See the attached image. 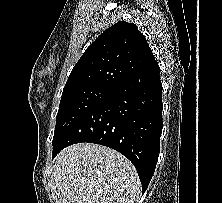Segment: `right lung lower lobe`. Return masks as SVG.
<instances>
[{"instance_id": "obj_1", "label": "right lung lower lobe", "mask_w": 222, "mask_h": 203, "mask_svg": "<svg viewBox=\"0 0 222 203\" xmlns=\"http://www.w3.org/2000/svg\"><path fill=\"white\" fill-rule=\"evenodd\" d=\"M162 125L160 69L153 62L120 83L63 133L53 144L52 158L75 143L110 147L133 163L144 193L158 160Z\"/></svg>"}]
</instances>
